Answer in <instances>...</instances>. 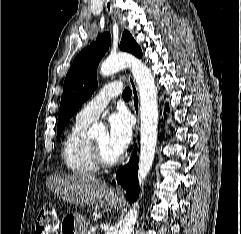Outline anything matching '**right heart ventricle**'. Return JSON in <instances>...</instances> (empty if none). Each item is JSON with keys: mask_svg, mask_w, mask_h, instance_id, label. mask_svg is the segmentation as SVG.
<instances>
[{"mask_svg": "<svg viewBox=\"0 0 241 234\" xmlns=\"http://www.w3.org/2000/svg\"><path fill=\"white\" fill-rule=\"evenodd\" d=\"M89 125L88 122L76 119L63 143L62 156L65 166L77 176H90L99 170L93 159L91 139L87 133Z\"/></svg>", "mask_w": 241, "mask_h": 234, "instance_id": "right-heart-ventricle-1", "label": "right heart ventricle"}]
</instances>
